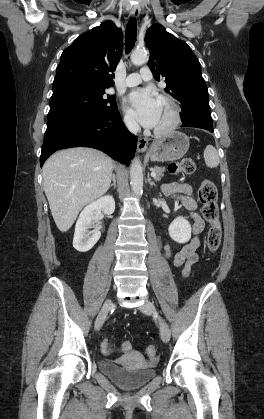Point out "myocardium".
<instances>
[{"label": "myocardium", "instance_id": "myocardium-1", "mask_svg": "<svg viewBox=\"0 0 264 419\" xmlns=\"http://www.w3.org/2000/svg\"><path fill=\"white\" fill-rule=\"evenodd\" d=\"M159 100L168 105L170 116L168 122L164 126L154 129V133L156 135H166L179 125L181 121V108L178 102L169 95H160Z\"/></svg>", "mask_w": 264, "mask_h": 419}]
</instances>
